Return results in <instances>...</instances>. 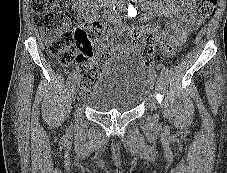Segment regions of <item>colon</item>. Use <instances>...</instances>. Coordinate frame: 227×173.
Listing matches in <instances>:
<instances>
[{
    "label": "colon",
    "instance_id": "1",
    "mask_svg": "<svg viewBox=\"0 0 227 173\" xmlns=\"http://www.w3.org/2000/svg\"><path fill=\"white\" fill-rule=\"evenodd\" d=\"M63 0H32L35 24L46 41L49 52L62 66L80 63L79 87L82 93L90 92L98 78L105 53H94L92 43L111 34V27L104 21L75 17L62 9ZM217 0H199V13L210 18ZM163 36L147 39L135 38L132 48L138 59L151 66L159 59L157 48L164 44Z\"/></svg>",
    "mask_w": 227,
    "mask_h": 173
}]
</instances>
